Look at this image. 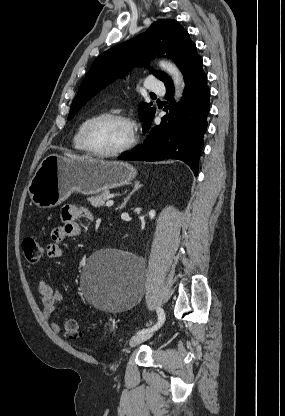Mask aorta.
<instances>
[{"instance_id": "1", "label": "aorta", "mask_w": 285, "mask_h": 416, "mask_svg": "<svg viewBox=\"0 0 285 416\" xmlns=\"http://www.w3.org/2000/svg\"><path fill=\"white\" fill-rule=\"evenodd\" d=\"M159 65L164 71H166L171 76L176 89L175 98L180 99L182 97L180 85L183 81V77L180 70L173 63L166 61H161Z\"/></svg>"}]
</instances>
